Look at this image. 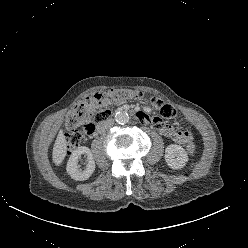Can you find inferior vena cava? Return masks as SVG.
<instances>
[{"instance_id":"inferior-vena-cava-1","label":"inferior vena cava","mask_w":248,"mask_h":248,"mask_svg":"<svg viewBox=\"0 0 248 248\" xmlns=\"http://www.w3.org/2000/svg\"><path fill=\"white\" fill-rule=\"evenodd\" d=\"M114 125V120L113 119H107L105 121H102L99 124V128L101 129V131H105L109 128H111Z\"/></svg>"}]
</instances>
